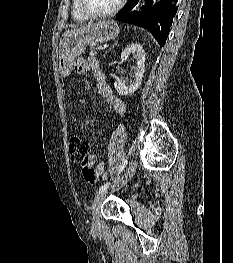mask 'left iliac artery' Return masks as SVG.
Wrapping results in <instances>:
<instances>
[{
    "instance_id": "1",
    "label": "left iliac artery",
    "mask_w": 233,
    "mask_h": 263,
    "mask_svg": "<svg viewBox=\"0 0 233 263\" xmlns=\"http://www.w3.org/2000/svg\"><path fill=\"white\" fill-rule=\"evenodd\" d=\"M126 165H127V159H125V160L123 161L122 165L120 166V169H119V171H118L117 176L123 171V169L126 167ZM112 180H114V179H112ZM109 185H110V182H107L106 184H104L103 186H101V187L99 188L98 194L106 191L107 188L109 187Z\"/></svg>"
}]
</instances>
